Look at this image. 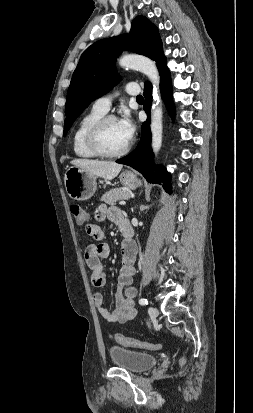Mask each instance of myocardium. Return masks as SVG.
<instances>
[{
  "mask_svg": "<svg viewBox=\"0 0 253 413\" xmlns=\"http://www.w3.org/2000/svg\"><path fill=\"white\" fill-rule=\"evenodd\" d=\"M116 120V117L114 115H103L102 117L98 118L95 120L87 129L86 132V144L88 148L97 156L100 157H105V158H117L125 155L130 147L131 143L128 142L121 150L116 151V152H109L106 151L100 141V134L105 126L106 123L109 121Z\"/></svg>",
  "mask_w": 253,
  "mask_h": 413,
  "instance_id": "obj_1",
  "label": "myocardium"
}]
</instances>
